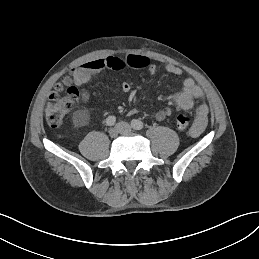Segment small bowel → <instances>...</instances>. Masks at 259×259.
<instances>
[{
  "label": "small bowel",
  "mask_w": 259,
  "mask_h": 259,
  "mask_svg": "<svg viewBox=\"0 0 259 259\" xmlns=\"http://www.w3.org/2000/svg\"><path fill=\"white\" fill-rule=\"evenodd\" d=\"M124 68L147 69L151 74H154L157 71L156 65L152 64L146 56L129 54L123 58L109 56L89 61L73 69L70 76L75 84L81 85L89 82L104 71H118ZM165 71L167 74L174 76H180L183 72L180 67L173 64H167L165 66ZM131 89L132 87L128 82H123L115 89V91L129 93ZM203 98V90L192 78L188 77L184 79L181 90L173 95L172 100L178 108L182 110H191L194 107L195 101L202 100ZM135 112V110H132L130 111V114H134ZM170 113V108L166 107L155 113L154 117L157 120H161L170 115ZM208 114L209 108L206 103L202 102L196 107V115L190 129V134L193 137L199 136L205 130L208 123Z\"/></svg>",
  "instance_id": "small-bowel-1"
}]
</instances>
